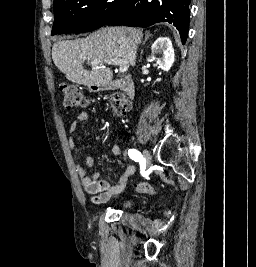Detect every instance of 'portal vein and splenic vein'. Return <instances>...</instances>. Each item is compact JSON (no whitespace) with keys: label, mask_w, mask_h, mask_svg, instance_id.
<instances>
[{"label":"portal vein and splenic vein","mask_w":256,"mask_h":267,"mask_svg":"<svg viewBox=\"0 0 256 267\" xmlns=\"http://www.w3.org/2000/svg\"><path fill=\"white\" fill-rule=\"evenodd\" d=\"M91 64H96V62H91ZM108 64H112V62H108ZM113 64L114 66H119V72H127L129 68V64H125V62H121V60H115Z\"/></svg>","instance_id":"portal-vein-and-splenic-vein-1"}]
</instances>
